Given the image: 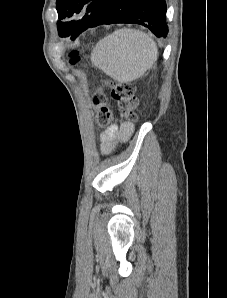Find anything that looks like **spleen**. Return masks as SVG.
Segmentation results:
<instances>
[{
  "mask_svg": "<svg viewBox=\"0 0 227 298\" xmlns=\"http://www.w3.org/2000/svg\"><path fill=\"white\" fill-rule=\"evenodd\" d=\"M157 57V45L148 34L122 28L97 43L91 61L116 81L129 82L150 69Z\"/></svg>",
  "mask_w": 227,
  "mask_h": 298,
  "instance_id": "3e777b00",
  "label": "spleen"
}]
</instances>
